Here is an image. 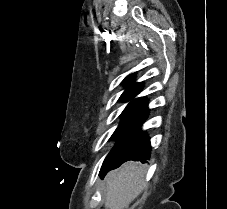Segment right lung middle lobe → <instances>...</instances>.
Here are the masks:
<instances>
[{
	"label": "right lung middle lobe",
	"mask_w": 227,
	"mask_h": 209,
	"mask_svg": "<svg viewBox=\"0 0 227 209\" xmlns=\"http://www.w3.org/2000/svg\"><path fill=\"white\" fill-rule=\"evenodd\" d=\"M147 111L148 109L145 107L130 103L122 112V120L111 137L116 139L117 143L105 158L101 168L102 172L110 168L113 156L141 133V125L147 118Z\"/></svg>",
	"instance_id": "1"
}]
</instances>
